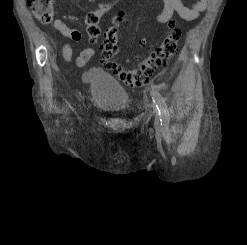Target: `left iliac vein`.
I'll return each mask as SVG.
<instances>
[{
	"instance_id": "left-iliac-vein-1",
	"label": "left iliac vein",
	"mask_w": 247,
	"mask_h": 245,
	"mask_svg": "<svg viewBox=\"0 0 247 245\" xmlns=\"http://www.w3.org/2000/svg\"><path fill=\"white\" fill-rule=\"evenodd\" d=\"M155 127H156L157 130L160 129V122H159L158 119L155 120Z\"/></svg>"
}]
</instances>
